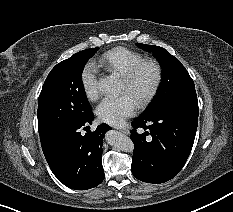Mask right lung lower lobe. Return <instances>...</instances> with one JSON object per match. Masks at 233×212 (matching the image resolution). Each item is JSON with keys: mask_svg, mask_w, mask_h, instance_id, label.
<instances>
[{"mask_svg": "<svg viewBox=\"0 0 233 212\" xmlns=\"http://www.w3.org/2000/svg\"><path fill=\"white\" fill-rule=\"evenodd\" d=\"M94 115L64 126L48 137L41 139L45 158L60 182L69 188L87 190L104 180L101 163L104 134L111 129L107 124L90 129ZM86 130L85 135L81 130Z\"/></svg>", "mask_w": 233, "mask_h": 212, "instance_id": "right-lung-lower-lobe-1", "label": "right lung lower lobe"}]
</instances>
